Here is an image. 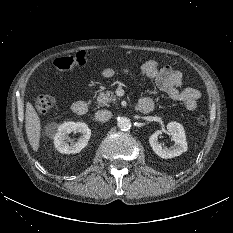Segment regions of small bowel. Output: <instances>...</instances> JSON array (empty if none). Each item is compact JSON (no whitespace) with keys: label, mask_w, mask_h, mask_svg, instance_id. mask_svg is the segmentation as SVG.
<instances>
[{"label":"small bowel","mask_w":233,"mask_h":233,"mask_svg":"<svg viewBox=\"0 0 233 233\" xmlns=\"http://www.w3.org/2000/svg\"><path fill=\"white\" fill-rule=\"evenodd\" d=\"M140 72L145 79L154 81L158 89L166 93L170 100L183 103L187 111L196 110L201 94L195 88L181 87L183 75L180 71L170 66L159 67L156 61L148 60L142 64ZM118 73L133 76V72L129 68H104L101 71L105 78L113 77ZM139 102H149L154 106V98L150 95H145Z\"/></svg>","instance_id":"c3829d8e"}]
</instances>
